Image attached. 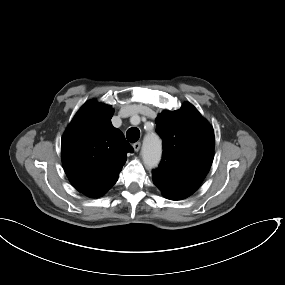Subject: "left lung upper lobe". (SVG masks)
<instances>
[{"instance_id":"5c2ea615","label":"left lung upper lobe","mask_w":285,"mask_h":285,"mask_svg":"<svg viewBox=\"0 0 285 285\" xmlns=\"http://www.w3.org/2000/svg\"><path fill=\"white\" fill-rule=\"evenodd\" d=\"M155 122L156 131L163 140L158 170L200 185L213 161V128L188 102L179 110L163 111Z\"/></svg>"}]
</instances>
